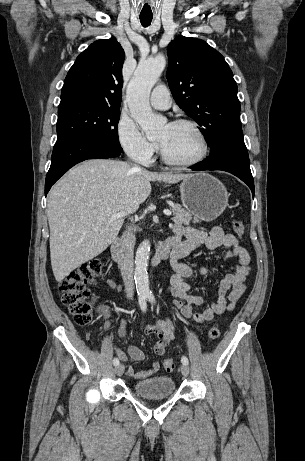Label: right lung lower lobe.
Returning a JSON list of instances; mask_svg holds the SVG:
<instances>
[{
	"mask_svg": "<svg viewBox=\"0 0 305 461\" xmlns=\"http://www.w3.org/2000/svg\"><path fill=\"white\" fill-rule=\"evenodd\" d=\"M122 151L103 142L82 139L54 145L51 166L46 176L45 195L51 186L72 166L87 159L114 158Z\"/></svg>",
	"mask_w": 305,
	"mask_h": 461,
	"instance_id": "obj_1",
	"label": "right lung lower lobe"
}]
</instances>
